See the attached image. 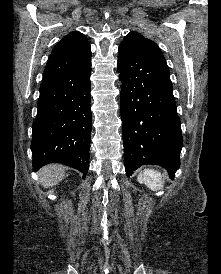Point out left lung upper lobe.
I'll return each mask as SVG.
<instances>
[{
    "label": "left lung upper lobe",
    "instance_id": "obj_1",
    "mask_svg": "<svg viewBox=\"0 0 221 274\" xmlns=\"http://www.w3.org/2000/svg\"><path fill=\"white\" fill-rule=\"evenodd\" d=\"M120 45L127 46L150 60L167 66L166 60L158 45L138 32H130L124 37Z\"/></svg>",
    "mask_w": 221,
    "mask_h": 274
}]
</instances>
